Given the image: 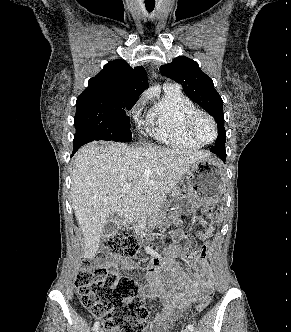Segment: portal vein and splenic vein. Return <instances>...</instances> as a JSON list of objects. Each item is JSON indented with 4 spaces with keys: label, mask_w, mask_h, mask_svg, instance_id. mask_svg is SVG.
Instances as JSON below:
<instances>
[{
    "label": "portal vein and splenic vein",
    "mask_w": 291,
    "mask_h": 332,
    "mask_svg": "<svg viewBox=\"0 0 291 332\" xmlns=\"http://www.w3.org/2000/svg\"><path fill=\"white\" fill-rule=\"evenodd\" d=\"M130 186H131L130 183H126V184H124V185H123V190H124V191L129 190Z\"/></svg>",
    "instance_id": "portal-vein-and-splenic-vein-1"
}]
</instances>
